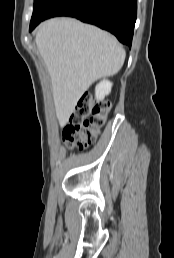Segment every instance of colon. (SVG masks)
<instances>
[{
  "instance_id": "colon-1",
  "label": "colon",
  "mask_w": 174,
  "mask_h": 258,
  "mask_svg": "<svg viewBox=\"0 0 174 258\" xmlns=\"http://www.w3.org/2000/svg\"><path fill=\"white\" fill-rule=\"evenodd\" d=\"M109 101L97 102L83 95L63 129V141L71 149H85L93 143L110 112Z\"/></svg>"
}]
</instances>
